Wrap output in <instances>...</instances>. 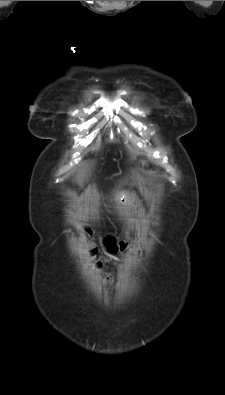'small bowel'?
Returning a JSON list of instances; mask_svg holds the SVG:
<instances>
[{
  "label": "small bowel",
  "instance_id": "small-bowel-1",
  "mask_svg": "<svg viewBox=\"0 0 225 395\" xmlns=\"http://www.w3.org/2000/svg\"><path fill=\"white\" fill-rule=\"evenodd\" d=\"M105 246L110 254H115L118 251H126L127 246L123 243L118 244L113 238L109 237L105 241Z\"/></svg>",
  "mask_w": 225,
  "mask_h": 395
}]
</instances>
